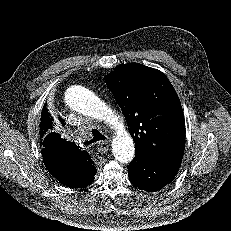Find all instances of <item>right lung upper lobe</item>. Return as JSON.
<instances>
[{
	"instance_id": "1",
	"label": "right lung upper lobe",
	"mask_w": 231,
	"mask_h": 231,
	"mask_svg": "<svg viewBox=\"0 0 231 231\" xmlns=\"http://www.w3.org/2000/svg\"><path fill=\"white\" fill-rule=\"evenodd\" d=\"M60 122L65 125L61 117L59 121L55 120L44 105L39 132L42 138L40 144L43 147L41 152L44 164L60 183L72 188L86 187L88 179L92 177V165L87 162L90 155L55 132Z\"/></svg>"
}]
</instances>
